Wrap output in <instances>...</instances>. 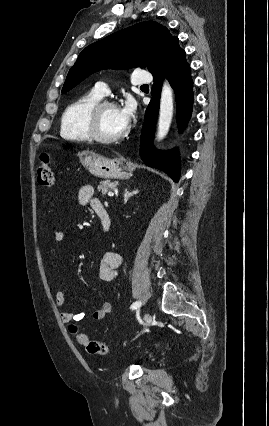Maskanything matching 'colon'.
Returning a JSON list of instances; mask_svg holds the SVG:
<instances>
[{
	"label": "colon",
	"instance_id": "1",
	"mask_svg": "<svg viewBox=\"0 0 269 426\" xmlns=\"http://www.w3.org/2000/svg\"><path fill=\"white\" fill-rule=\"evenodd\" d=\"M37 175L38 183L41 186L51 187L53 185V169L50 161V156L47 153H43L40 156L37 168ZM70 330L75 335L78 343L83 345L88 353L96 355H106L109 353L110 347L107 343L92 340L86 334L79 333L75 325H71Z\"/></svg>",
	"mask_w": 269,
	"mask_h": 426
}]
</instances>
